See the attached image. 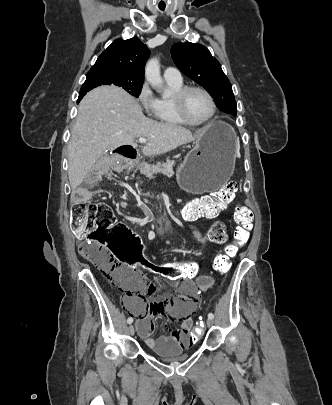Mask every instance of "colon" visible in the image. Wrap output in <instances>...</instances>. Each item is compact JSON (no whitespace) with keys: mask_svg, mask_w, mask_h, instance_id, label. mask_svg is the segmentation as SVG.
I'll return each instance as SVG.
<instances>
[{"mask_svg":"<svg viewBox=\"0 0 332 405\" xmlns=\"http://www.w3.org/2000/svg\"><path fill=\"white\" fill-rule=\"evenodd\" d=\"M236 183L224 184L210 195L196 198L186 209L199 215L217 213L230 203L236 192ZM236 227L233 241L226 245L213 261L215 271L226 274L231 267V260L243 247L250 236L252 214L242 204L234 210ZM71 228L86 239L79 245L80 256L97 267L107 279L120 290L122 274L114 256H121L122 267H134L135 270H149L160 273L169 282L191 281L198 275V266H188L186 262H157L153 258H140L141 243L138 235L125 223L117 221L113 210L104 203H89L85 193H77L71 208ZM210 243H226L230 236V227H207ZM181 273V275H180ZM206 318L199 316L189 334L192 346L202 345Z\"/></svg>","mask_w":332,"mask_h":405,"instance_id":"obj_1","label":"colon"}]
</instances>
